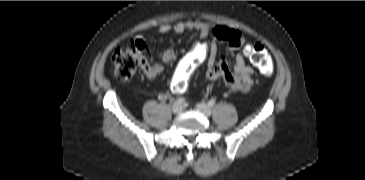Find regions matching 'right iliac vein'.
<instances>
[{
    "instance_id": "1",
    "label": "right iliac vein",
    "mask_w": 365,
    "mask_h": 180,
    "mask_svg": "<svg viewBox=\"0 0 365 180\" xmlns=\"http://www.w3.org/2000/svg\"><path fill=\"white\" fill-rule=\"evenodd\" d=\"M182 111V107L180 105L174 104L172 106V112L178 114Z\"/></svg>"
}]
</instances>
